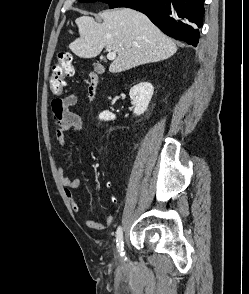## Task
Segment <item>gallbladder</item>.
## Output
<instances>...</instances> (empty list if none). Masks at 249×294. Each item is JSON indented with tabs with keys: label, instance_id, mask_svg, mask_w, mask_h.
<instances>
[{
	"label": "gallbladder",
	"instance_id": "1",
	"mask_svg": "<svg viewBox=\"0 0 249 294\" xmlns=\"http://www.w3.org/2000/svg\"><path fill=\"white\" fill-rule=\"evenodd\" d=\"M95 70L98 73H103L104 72V68L100 65H95Z\"/></svg>",
	"mask_w": 249,
	"mask_h": 294
}]
</instances>
